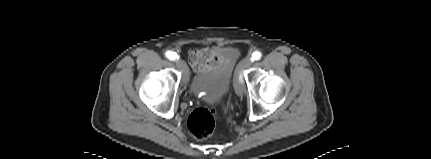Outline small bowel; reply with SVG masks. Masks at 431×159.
Masks as SVG:
<instances>
[{
	"mask_svg": "<svg viewBox=\"0 0 431 159\" xmlns=\"http://www.w3.org/2000/svg\"><path fill=\"white\" fill-rule=\"evenodd\" d=\"M224 56L219 47L195 49L189 52V63L196 73H206L222 65Z\"/></svg>",
	"mask_w": 431,
	"mask_h": 159,
	"instance_id": "c3829d8e",
	"label": "small bowel"
}]
</instances>
